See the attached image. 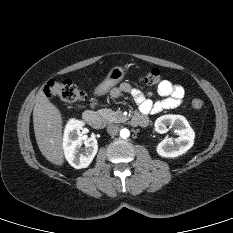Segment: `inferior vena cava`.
<instances>
[{"instance_id":"1","label":"inferior vena cava","mask_w":233,"mask_h":233,"mask_svg":"<svg viewBox=\"0 0 233 233\" xmlns=\"http://www.w3.org/2000/svg\"><path fill=\"white\" fill-rule=\"evenodd\" d=\"M107 132L110 134V135H116L118 132H119V126L116 125V124H109L107 126Z\"/></svg>"}]
</instances>
